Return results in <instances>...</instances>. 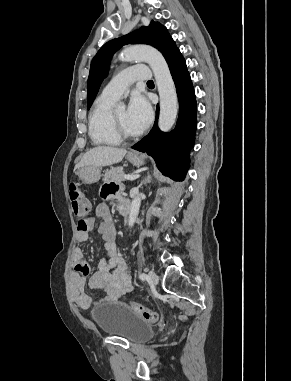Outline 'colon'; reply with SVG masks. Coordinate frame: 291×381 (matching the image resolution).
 <instances>
[{
    "label": "colon",
    "instance_id": "obj_1",
    "mask_svg": "<svg viewBox=\"0 0 291 381\" xmlns=\"http://www.w3.org/2000/svg\"><path fill=\"white\" fill-rule=\"evenodd\" d=\"M106 191H110V189H107ZM70 200L73 214L80 220V229L85 230L87 228V221L90 219L91 204L80 192L76 183L70 184ZM130 307L135 314L139 315L147 322L155 323L159 320L157 312L147 309L140 303L132 302Z\"/></svg>",
    "mask_w": 291,
    "mask_h": 381
}]
</instances>
